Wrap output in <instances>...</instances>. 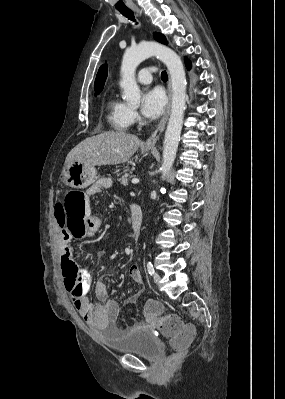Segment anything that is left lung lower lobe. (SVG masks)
<instances>
[{"mask_svg": "<svg viewBox=\"0 0 285 399\" xmlns=\"http://www.w3.org/2000/svg\"><path fill=\"white\" fill-rule=\"evenodd\" d=\"M185 63H186L187 69L190 70L191 69V63L189 61H187V60L185 61Z\"/></svg>", "mask_w": 285, "mask_h": 399, "instance_id": "left-lung-lower-lobe-1", "label": "left lung lower lobe"}]
</instances>
